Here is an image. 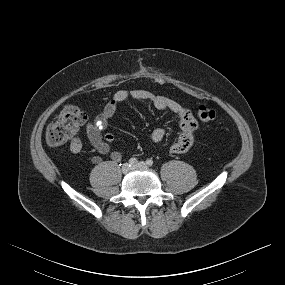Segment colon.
<instances>
[{"instance_id":"5ec220e1","label":"colon","mask_w":285,"mask_h":285,"mask_svg":"<svg viewBox=\"0 0 285 285\" xmlns=\"http://www.w3.org/2000/svg\"><path fill=\"white\" fill-rule=\"evenodd\" d=\"M218 117V112L206 105L199 106L197 118L209 122ZM86 114L76 105H66L57 114L46 129L45 138L50 146H60L72 139L79 128L86 122Z\"/></svg>"}]
</instances>
